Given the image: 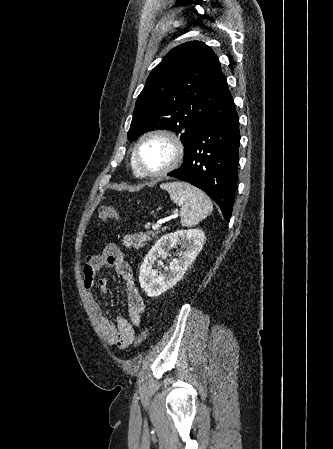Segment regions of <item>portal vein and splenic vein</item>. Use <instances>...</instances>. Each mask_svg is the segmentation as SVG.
Instances as JSON below:
<instances>
[{
	"instance_id": "portal-vein-and-splenic-vein-1",
	"label": "portal vein and splenic vein",
	"mask_w": 333,
	"mask_h": 449,
	"mask_svg": "<svg viewBox=\"0 0 333 449\" xmlns=\"http://www.w3.org/2000/svg\"><path fill=\"white\" fill-rule=\"evenodd\" d=\"M160 227V224L159 223H156V224H153L152 225V229L153 230H156V229H158Z\"/></svg>"
}]
</instances>
